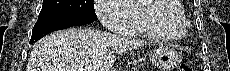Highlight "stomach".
<instances>
[{"mask_svg":"<svg viewBox=\"0 0 230 71\" xmlns=\"http://www.w3.org/2000/svg\"><path fill=\"white\" fill-rule=\"evenodd\" d=\"M153 64L163 71L175 68L179 63V55L170 48H159L153 50L150 55Z\"/></svg>","mask_w":230,"mask_h":71,"instance_id":"obj_1","label":"stomach"}]
</instances>
